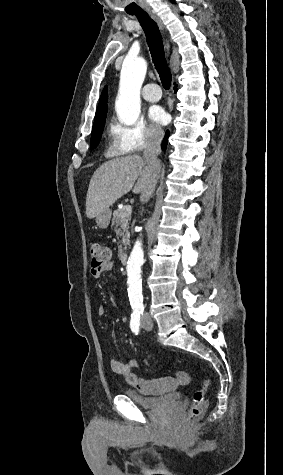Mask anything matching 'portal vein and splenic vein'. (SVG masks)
Returning <instances> with one entry per match:
<instances>
[{
	"label": "portal vein and splenic vein",
	"mask_w": 283,
	"mask_h": 475,
	"mask_svg": "<svg viewBox=\"0 0 283 475\" xmlns=\"http://www.w3.org/2000/svg\"><path fill=\"white\" fill-rule=\"evenodd\" d=\"M122 208H123V206H122ZM126 210H127V212H131V206H127Z\"/></svg>",
	"instance_id": "portal-vein-and-splenic-vein-1"
}]
</instances>
